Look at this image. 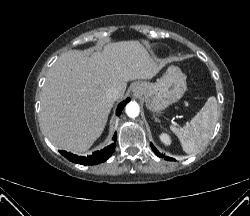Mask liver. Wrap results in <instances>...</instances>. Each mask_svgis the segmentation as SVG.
Instances as JSON below:
<instances>
[{
  "instance_id": "obj_1",
  "label": "liver",
  "mask_w": 250,
  "mask_h": 216,
  "mask_svg": "<svg viewBox=\"0 0 250 216\" xmlns=\"http://www.w3.org/2000/svg\"><path fill=\"white\" fill-rule=\"evenodd\" d=\"M165 65L138 41L109 43L102 51L71 50L50 68L41 96L40 123L51 143L76 153L87 151L102 134L117 88L123 97L127 82L152 79Z\"/></svg>"
}]
</instances>
